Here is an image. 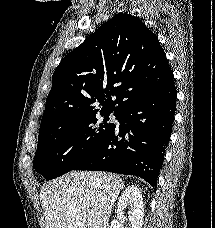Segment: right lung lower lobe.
<instances>
[{
	"mask_svg": "<svg viewBox=\"0 0 215 228\" xmlns=\"http://www.w3.org/2000/svg\"><path fill=\"white\" fill-rule=\"evenodd\" d=\"M145 88L115 113L121 125H115L109 136L72 170L136 175L156 189L171 136L177 91L173 76Z\"/></svg>",
	"mask_w": 215,
	"mask_h": 228,
	"instance_id": "1",
	"label": "right lung lower lobe"
}]
</instances>
